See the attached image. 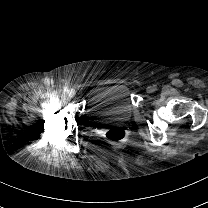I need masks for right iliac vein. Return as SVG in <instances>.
I'll return each mask as SVG.
<instances>
[{
    "mask_svg": "<svg viewBox=\"0 0 208 208\" xmlns=\"http://www.w3.org/2000/svg\"><path fill=\"white\" fill-rule=\"evenodd\" d=\"M75 94H76V92H75L74 89H71V90L68 92V95H69V97H71V98L74 97Z\"/></svg>",
    "mask_w": 208,
    "mask_h": 208,
    "instance_id": "1",
    "label": "right iliac vein"
}]
</instances>
